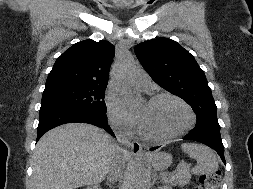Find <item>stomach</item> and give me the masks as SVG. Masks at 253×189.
Returning a JSON list of instances; mask_svg holds the SVG:
<instances>
[{"instance_id": "1", "label": "stomach", "mask_w": 253, "mask_h": 189, "mask_svg": "<svg viewBox=\"0 0 253 189\" xmlns=\"http://www.w3.org/2000/svg\"><path fill=\"white\" fill-rule=\"evenodd\" d=\"M153 167L157 170H165L172 163V156L166 152L155 153L150 158Z\"/></svg>"}]
</instances>
